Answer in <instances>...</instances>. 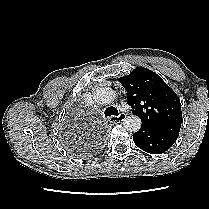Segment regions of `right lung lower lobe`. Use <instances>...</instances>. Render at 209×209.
<instances>
[{
  "mask_svg": "<svg viewBox=\"0 0 209 209\" xmlns=\"http://www.w3.org/2000/svg\"><path fill=\"white\" fill-rule=\"evenodd\" d=\"M101 144V140H89L83 143H71V150L78 155H88L94 152Z\"/></svg>",
  "mask_w": 209,
  "mask_h": 209,
  "instance_id": "98d812e1",
  "label": "right lung lower lobe"
}]
</instances>
